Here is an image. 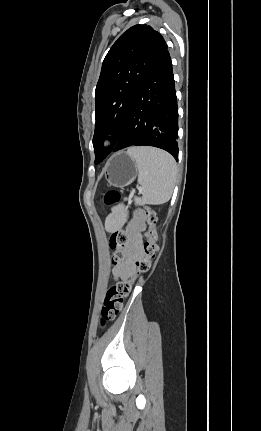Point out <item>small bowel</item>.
<instances>
[{"label":"small bowel","instance_id":"obj_1","mask_svg":"<svg viewBox=\"0 0 261 431\" xmlns=\"http://www.w3.org/2000/svg\"><path fill=\"white\" fill-rule=\"evenodd\" d=\"M144 227L145 218L143 214H135L127 227L129 243L124 249L126 259L113 269V277L115 279H125L135 273V262L140 255V246L142 242L141 232Z\"/></svg>","mask_w":261,"mask_h":431}]
</instances>
